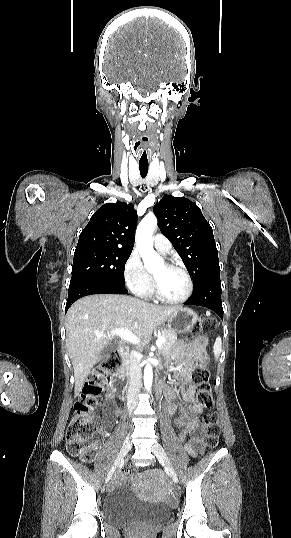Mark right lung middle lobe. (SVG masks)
I'll list each match as a JSON object with an SVG mask.
<instances>
[{
	"label": "right lung middle lobe",
	"instance_id": "right-lung-middle-lobe-1",
	"mask_svg": "<svg viewBox=\"0 0 291 538\" xmlns=\"http://www.w3.org/2000/svg\"><path fill=\"white\" fill-rule=\"evenodd\" d=\"M131 252L111 248L75 251L70 285L95 282L125 287L124 267Z\"/></svg>",
	"mask_w": 291,
	"mask_h": 538
}]
</instances>
